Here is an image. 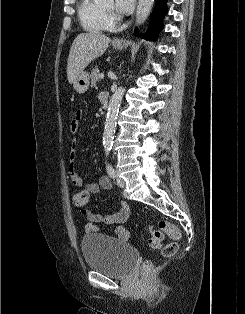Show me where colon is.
Here are the masks:
<instances>
[{
  "mask_svg": "<svg viewBox=\"0 0 245 314\" xmlns=\"http://www.w3.org/2000/svg\"><path fill=\"white\" fill-rule=\"evenodd\" d=\"M89 201V193L81 190L73 195V203L76 207L84 209ZM147 231L150 233L149 244L152 248H162V255L165 257L172 256L177 248L178 242L181 239L180 230L172 223L168 221H161L159 223V229L154 230L150 226L147 227ZM166 233L171 238V242L163 246V235ZM151 270V263L146 262L142 265V272L145 274Z\"/></svg>",
  "mask_w": 245,
  "mask_h": 314,
  "instance_id": "colon-1",
  "label": "colon"
}]
</instances>
